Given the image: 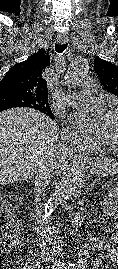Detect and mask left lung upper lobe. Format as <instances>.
Segmentation results:
<instances>
[{
    "label": "left lung upper lobe",
    "instance_id": "left-lung-upper-lobe-1",
    "mask_svg": "<svg viewBox=\"0 0 118 269\" xmlns=\"http://www.w3.org/2000/svg\"><path fill=\"white\" fill-rule=\"evenodd\" d=\"M95 71L104 88L118 96V67L99 57L94 60Z\"/></svg>",
    "mask_w": 118,
    "mask_h": 269
}]
</instances>
